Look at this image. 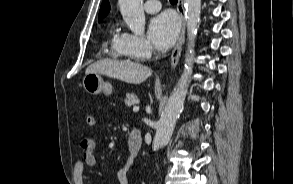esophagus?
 <instances>
[{"label": "esophagus", "mask_w": 293, "mask_h": 184, "mask_svg": "<svg viewBox=\"0 0 293 184\" xmlns=\"http://www.w3.org/2000/svg\"><path fill=\"white\" fill-rule=\"evenodd\" d=\"M177 11L179 13L180 21H181V31H180L177 43L171 54V60H170L171 69H174L176 65L178 64V61L181 55L182 45L185 40L186 19H185L184 7H183V0H178Z\"/></svg>", "instance_id": "obj_1"}]
</instances>
